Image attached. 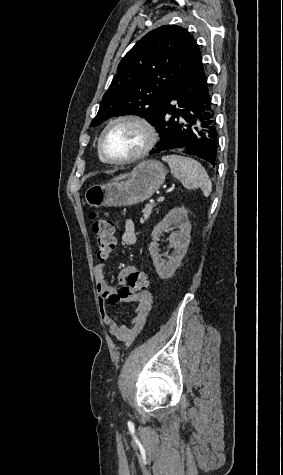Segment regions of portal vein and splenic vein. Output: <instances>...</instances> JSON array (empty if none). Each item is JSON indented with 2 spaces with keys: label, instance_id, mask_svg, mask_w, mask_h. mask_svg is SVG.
<instances>
[{
  "label": "portal vein and splenic vein",
  "instance_id": "18ae733b",
  "mask_svg": "<svg viewBox=\"0 0 283 475\" xmlns=\"http://www.w3.org/2000/svg\"><path fill=\"white\" fill-rule=\"evenodd\" d=\"M164 198V195H159L157 202H163Z\"/></svg>",
  "mask_w": 283,
  "mask_h": 475
}]
</instances>
